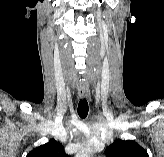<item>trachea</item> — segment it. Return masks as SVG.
<instances>
[{
    "mask_svg": "<svg viewBox=\"0 0 164 157\" xmlns=\"http://www.w3.org/2000/svg\"><path fill=\"white\" fill-rule=\"evenodd\" d=\"M78 115L83 119L88 115V102L85 98L81 99L78 104Z\"/></svg>",
    "mask_w": 164,
    "mask_h": 157,
    "instance_id": "obj_1",
    "label": "trachea"
}]
</instances>
